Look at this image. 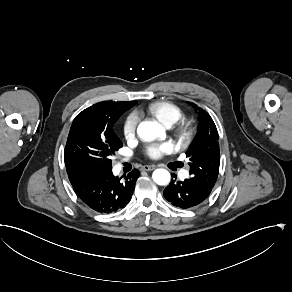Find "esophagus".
Masks as SVG:
<instances>
[{
    "instance_id": "obj_1",
    "label": "esophagus",
    "mask_w": 292,
    "mask_h": 292,
    "mask_svg": "<svg viewBox=\"0 0 292 292\" xmlns=\"http://www.w3.org/2000/svg\"><path fill=\"white\" fill-rule=\"evenodd\" d=\"M155 169V166H152V165H144L141 167V170H144V171H152Z\"/></svg>"
}]
</instances>
